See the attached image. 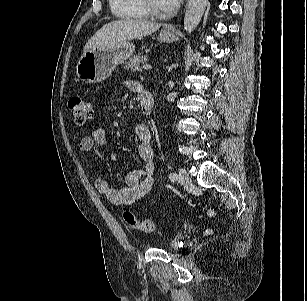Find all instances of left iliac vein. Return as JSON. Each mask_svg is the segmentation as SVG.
Wrapping results in <instances>:
<instances>
[{"label":"left iliac vein","instance_id":"obj_1","mask_svg":"<svg viewBox=\"0 0 307 301\" xmlns=\"http://www.w3.org/2000/svg\"><path fill=\"white\" fill-rule=\"evenodd\" d=\"M179 182L184 187H189L191 185L190 176L184 168L179 169Z\"/></svg>","mask_w":307,"mask_h":301}]
</instances>
